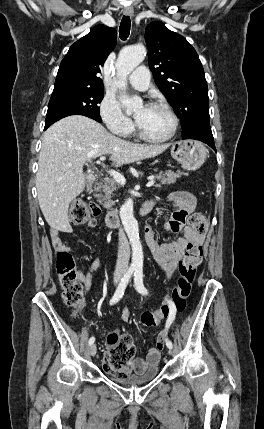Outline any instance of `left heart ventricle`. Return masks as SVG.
I'll return each mask as SVG.
<instances>
[{"instance_id":"left-heart-ventricle-1","label":"left heart ventricle","mask_w":264,"mask_h":429,"mask_svg":"<svg viewBox=\"0 0 264 429\" xmlns=\"http://www.w3.org/2000/svg\"><path fill=\"white\" fill-rule=\"evenodd\" d=\"M134 117L142 131L149 137H164L172 129V120L162 109L141 106L135 111Z\"/></svg>"}]
</instances>
